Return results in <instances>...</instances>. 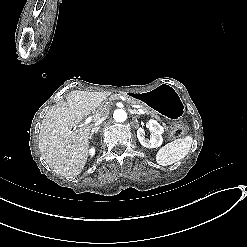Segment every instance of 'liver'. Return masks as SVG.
<instances>
[{"label": "liver", "mask_w": 247, "mask_h": 247, "mask_svg": "<svg viewBox=\"0 0 247 247\" xmlns=\"http://www.w3.org/2000/svg\"><path fill=\"white\" fill-rule=\"evenodd\" d=\"M105 92L71 91L66 101L52 106L44 116L39 133L41 157L56 174L77 176L87 162L89 134L93 124L76 126L102 106ZM100 113L94 115L96 122Z\"/></svg>", "instance_id": "obj_1"}]
</instances>
